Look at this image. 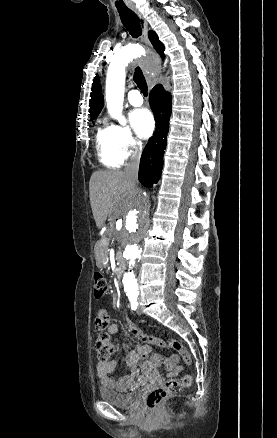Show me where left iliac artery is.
<instances>
[{"instance_id": "1", "label": "left iliac artery", "mask_w": 277, "mask_h": 438, "mask_svg": "<svg viewBox=\"0 0 277 438\" xmlns=\"http://www.w3.org/2000/svg\"><path fill=\"white\" fill-rule=\"evenodd\" d=\"M130 306L132 310H136L138 306L137 295H129Z\"/></svg>"}]
</instances>
